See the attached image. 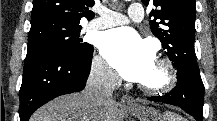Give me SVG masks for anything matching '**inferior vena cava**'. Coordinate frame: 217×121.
Wrapping results in <instances>:
<instances>
[{
    "mask_svg": "<svg viewBox=\"0 0 217 121\" xmlns=\"http://www.w3.org/2000/svg\"><path fill=\"white\" fill-rule=\"evenodd\" d=\"M121 84L118 75L104 63L91 68L83 96L90 109L99 116L108 113L114 103L113 91Z\"/></svg>",
    "mask_w": 217,
    "mask_h": 121,
    "instance_id": "obj_1",
    "label": "inferior vena cava"
}]
</instances>
